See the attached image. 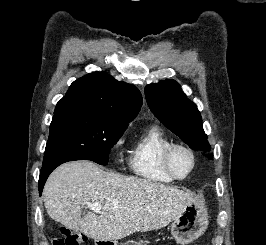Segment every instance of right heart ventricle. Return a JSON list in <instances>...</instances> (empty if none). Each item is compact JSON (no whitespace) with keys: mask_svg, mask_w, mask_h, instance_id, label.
<instances>
[{"mask_svg":"<svg viewBox=\"0 0 266 245\" xmlns=\"http://www.w3.org/2000/svg\"><path fill=\"white\" fill-rule=\"evenodd\" d=\"M173 143L171 137L158 125L147 127L134 142L129 166L133 173L146 182L168 185L174 180L164 169L162 154Z\"/></svg>","mask_w":266,"mask_h":245,"instance_id":"1","label":"right heart ventricle"}]
</instances>
